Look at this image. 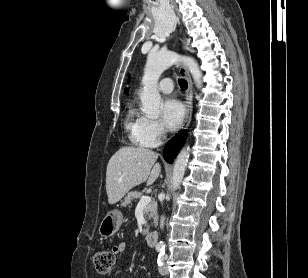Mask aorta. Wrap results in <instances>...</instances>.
I'll return each instance as SVG.
<instances>
[{
	"instance_id": "aorta-1",
	"label": "aorta",
	"mask_w": 308,
	"mask_h": 278,
	"mask_svg": "<svg viewBox=\"0 0 308 278\" xmlns=\"http://www.w3.org/2000/svg\"><path fill=\"white\" fill-rule=\"evenodd\" d=\"M183 63L190 71L197 88L202 86V72L198 63L191 57L181 56L172 51H160L150 53L144 69L142 78L143 90L140 94L143 112L150 118H157L159 115V107L161 97L157 90L158 80L161 74L174 63ZM189 147L184 148L178 154L172 176V189L177 190L183 180L185 170L189 159ZM158 247L165 248V244L160 242Z\"/></svg>"
}]
</instances>
